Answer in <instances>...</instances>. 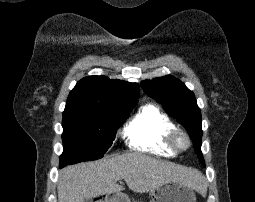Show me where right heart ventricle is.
Instances as JSON below:
<instances>
[{"mask_svg": "<svg viewBox=\"0 0 255 202\" xmlns=\"http://www.w3.org/2000/svg\"><path fill=\"white\" fill-rule=\"evenodd\" d=\"M173 128L171 119L159 107L149 103L127 122L123 136L134 150L171 157L176 152L168 146L166 136Z\"/></svg>", "mask_w": 255, "mask_h": 202, "instance_id": "right-heart-ventricle-1", "label": "right heart ventricle"}]
</instances>
